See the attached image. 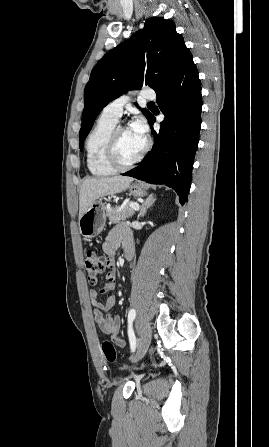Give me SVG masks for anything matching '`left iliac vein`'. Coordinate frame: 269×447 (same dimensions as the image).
Returning a JSON list of instances; mask_svg holds the SVG:
<instances>
[{"mask_svg":"<svg viewBox=\"0 0 269 447\" xmlns=\"http://www.w3.org/2000/svg\"><path fill=\"white\" fill-rule=\"evenodd\" d=\"M152 338V331L149 324H145L139 333V345L136 354L131 358V362H138L146 353Z\"/></svg>","mask_w":269,"mask_h":447,"instance_id":"obj_1","label":"left iliac vein"}]
</instances>
